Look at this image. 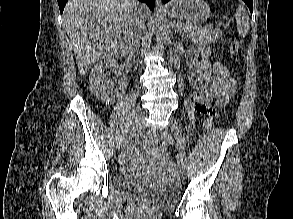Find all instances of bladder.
<instances>
[{
  "label": "bladder",
  "instance_id": "1",
  "mask_svg": "<svg viewBox=\"0 0 293 219\" xmlns=\"http://www.w3.org/2000/svg\"><path fill=\"white\" fill-rule=\"evenodd\" d=\"M112 181L120 192L149 202L160 209L172 208L179 200L178 189L169 182L144 180L126 170L115 172Z\"/></svg>",
  "mask_w": 293,
  "mask_h": 219
}]
</instances>
